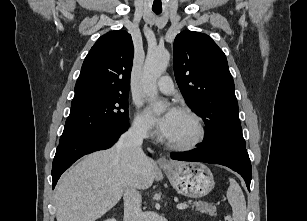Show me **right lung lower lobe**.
I'll return each instance as SVG.
<instances>
[{"label":"right lung lower lobe","mask_w":307,"mask_h":221,"mask_svg":"<svg viewBox=\"0 0 307 221\" xmlns=\"http://www.w3.org/2000/svg\"><path fill=\"white\" fill-rule=\"evenodd\" d=\"M129 124L91 133L59 143L53 160L52 179L55 187L61 174L83 155L110 148Z\"/></svg>","instance_id":"obj_1"}]
</instances>
